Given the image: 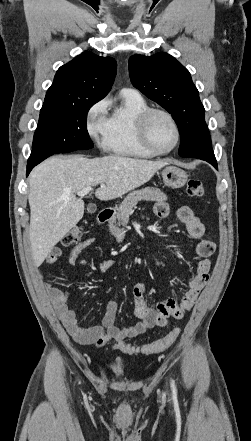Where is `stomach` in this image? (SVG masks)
<instances>
[{
	"label": "stomach",
	"instance_id": "obj_1",
	"mask_svg": "<svg viewBox=\"0 0 251 441\" xmlns=\"http://www.w3.org/2000/svg\"><path fill=\"white\" fill-rule=\"evenodd\" d=\"M163 182L166 186L173 189L182 188L187 180V173L176 166H167L162 171Z\"/></svg>",
	"mask_w": 251,
	"mask_h": 441
}]
</instances>
